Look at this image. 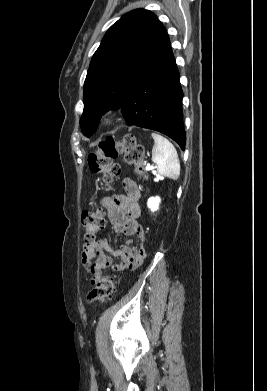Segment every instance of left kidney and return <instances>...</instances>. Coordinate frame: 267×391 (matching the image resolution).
Masks as SVG:
<instances>
[{"instance_id":"5707ae66","label":"left kidney","mask_w":267,"mask_h":391,"mask_svg":"<svg viewBox=\"0 0 267 391\" xmlns=\"http://www.w3.org/2000/svg\"><path fill=\"white\" fill-rule=\"evenodd\" d=\"M160 202V197H151L148 199L147 206L152 212H155L158 210Z\"/></svg>"}]
</instances>
